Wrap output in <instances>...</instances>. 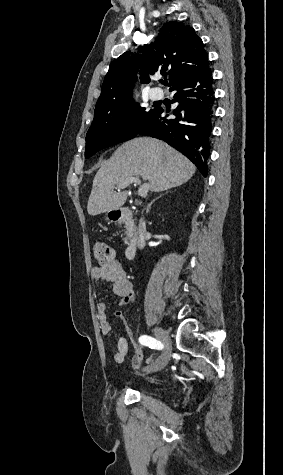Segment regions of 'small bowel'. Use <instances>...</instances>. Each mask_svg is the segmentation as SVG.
<instances>
[{
	"mask_svg": "<svg viewBox=\"0 0 283 475\" xmlns=\"http://www.w3.org/2000/svg\"><path fill=\"white\" fill-rule=\"evenodd\" d=\"M91 276L97 280H104L112 284L113 293L119 297V305L125 306L134 300L133 286L128 279L127 273L121 261L114 259L106 265L93 266L90 270ZM117 317H122L120 311L115 313ZM97 318L101 333L108 335L111 333L112 326L107 318V306L104 302L97 304ZM114 325L120 324L119 318L113 319ZM129 335L131 331L128 330ZM130 356L128 340L124 336L117 338L116 351L113 353L115 363L122 364ZM144 362L143 350L140 346L134 345V354L132 357V370L138 372ZM148 381L157 380L156 375H149Z\"/></svg>",
	"mask_w": 283,
	"mask_h": 475,
	"instance_id": "small-bowel-1",
	"label": "small bowel"
}]
</instances>
